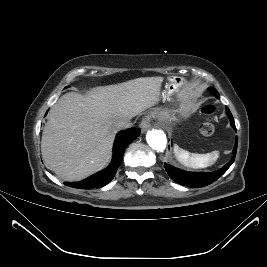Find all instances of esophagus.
I'll use <instances>...</instances> for the list:
<instances>
[{"label":"esophagus","instance_id":"1","mask_svg":"<svg viewBox=\"0 0 267 267\" xmlns=\"http://www.w3.org/2000/svg\"><path fill=\"white\" fill-rule=\"evenodd\" d=\"M150 122H151V120H150L149 116H145L142 119V121L140 123V128H141L142 133L146 132L150 128V126H151Z\"/></svg>","mask_w":267,"mask_h":267}]
</instances>
